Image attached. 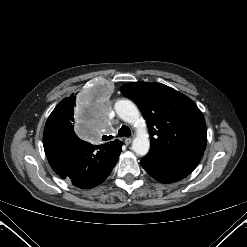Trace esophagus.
Listing matches in <instances>:
<instances>
[{"label": "esophagus", "mask_w": 247, "mask_h": 247, "mask_svg": "<svg viewBox=\"0 0 247 247\" xmlns=\"http://www.w3.org/2000/svg\"><path fill=\"white\" fill-rule=\"evenodd\" d=\"M124 142L126 145H129L132 143V138H125Z\"/></svg>", "instance_id": "1"}]
</instances>
